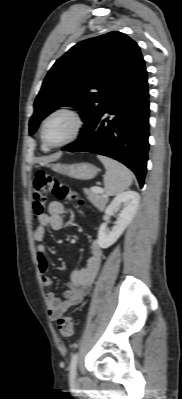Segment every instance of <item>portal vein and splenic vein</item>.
I'll return each instance as SVG.
<instances>
[{"mask_svg": "<svg viewBox=\"0 0 182 399\" xmlns=\"http://www.w3.org/2000/svg\"><path fill=\"white\" fill-rule=\"evenodd\" d=\"M93 190L97 191V192H104V190L102 188H100V187H96Z\"/></svg>", "mask_w": 182, "mask_h": 399, "instance_id": "1", "label": "portal vein and splenic vein"}]
</instances>
